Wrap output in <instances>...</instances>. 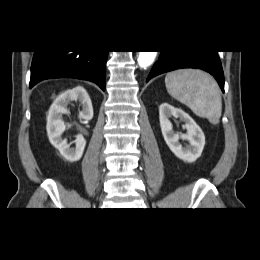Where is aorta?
I'll return each instance as SVG.
<instances>
[{
  "label": "aorta",
  "instance_id": "762f6f07",
  "mask_svg": "<svg viewBox=\"0 0 260 260\" xmlns=\"http://www.w3.org/2000/svg\"><path fill=\"white\" fill-rule=\"evenodd\" d=\"M156 51H140L138 56V65L141 68L149 67L155 60Z\"/></svg>",
  "mask_w": 260,
  "mask_h": 260
}]
</instances>
